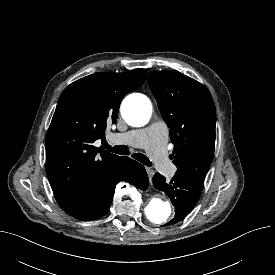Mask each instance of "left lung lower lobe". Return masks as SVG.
I'll return each mask as SVG.
<instances>
[{"mask_svg": "<svg viewBox=\"0 0 275 275\" xmlns=\"http://www.w3.org/2000/svg\"><path fill=\"white\" fill-rule=\"evenodd\" d=\"M156 189L167 194L175 207V217L167 224L183 220L195 207L202 193L203 182L190 176L175 173L170 181L159 173L153 177Z\"/></svg>", "mask_w": 275, "mask_h": 275, "instance_id": "1", "label": "left lung lower lobe"}]
</instances>
